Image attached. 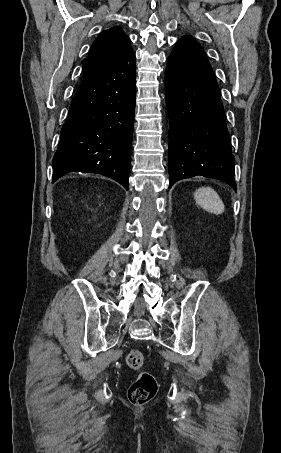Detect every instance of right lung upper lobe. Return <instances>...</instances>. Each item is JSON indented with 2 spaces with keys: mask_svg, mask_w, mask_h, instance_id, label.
Wrapping results in <instances>:
<instances>
[{
  "mask_svg": "<svg viewBox=\"0 0 281 453\" xmlns=\"http://www.w3.org/2000/svg\"><path fill=\"white\" fill-rule=\"evenodd\" d=\"M133 52L130 39L119 26L103 31L82 61L83 78L99 75Z\"/></svg>",
  "mask_w": 281,
  "mask_h": 453,
  "instance_id": "cb5924a9",
  "label": "right lung upper lobe"
}]
</instances>
